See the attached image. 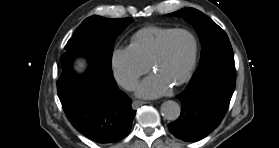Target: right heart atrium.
Here are the masks:
<instances>
[{
	"mask_svg": "<svg viewBox=\"0 0 279 148\" xmlns=\"http://www.w3.org/2000/svg\"><path fill=\"white\" fill-rule=\"evenodd\" d=\"M112 69L117 82L125 89L135 87L138 79L148 72L146 64L131 47L117 48L112 55Z\"/></svg>",
	"mask_w": 279,
	"mask_h": 148,
	"instance_id": "right-heart-atrium-1",
	"label": "right heart atrium"
}]
</instances>
